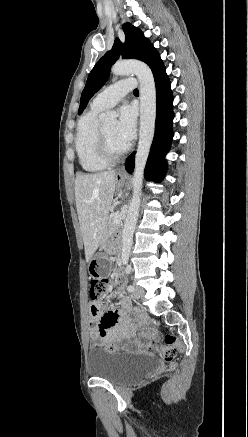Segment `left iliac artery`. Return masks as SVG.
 I'll return each mask as SVG.
<instances>
[{"instance_id": "obj_1", "label": "left iliac artery", "mask_w": 248, "mask_h": 437, "mask_svg": "<svg viewBox=\"0 0 248 437\" xmlns=\"http://www.w3.org/2000/svg\"><path fill=\"white\" fill-rule=\"evenodd\" d=\"M130 272H131V267H130V266H127V268H126V273H127V274H130ZM127 290H128V292H132V291L134 290V287H133L132 285H129V286L127 287Z\"/></svg>"}]
</instances>
